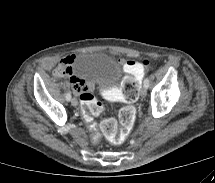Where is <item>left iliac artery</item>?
<instances>
[{
    "instance_id": "left-iliac-artery-1",
    "label": "left iliac artery",
    "mask_w": 215,
    "mask_h": 183,
    "mask_svg": "<svg viewBox=\"0 0 215 183\" xmlns=\"http://www.w3.org/2000/svg\"><path fill=\"white\" fill-rule=\"evenodd\" d=\"M144 87H146V88L149 87V79H148V78H146V79L144 80Z\"/></svg>"
}]
</instances>
